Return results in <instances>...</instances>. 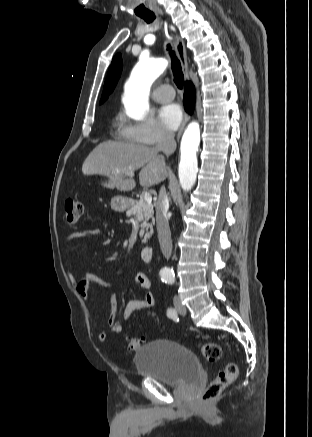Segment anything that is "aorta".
Returning <instances> with one entry per match:
<instances>
[{"label":"aorta","mask_w":312,"mask_h":437,"mask_svg":"<svg viewBox=\"0 0 312 437\" xmlns=\"http://www.w3.org/2000/svg\"><path fill=\"white\" fill-rule=\"evenodd\" d=\"M164 58L140 57L125 87L126 114L134 120H143L149 109L148 96L153 82L167 67ZM200 144V128L197 122L189 124L180 146L179 181L182 189L190 191L198 172L197 151Z\"/></svg>","instance_id":"obj_1"}]
</instances>
